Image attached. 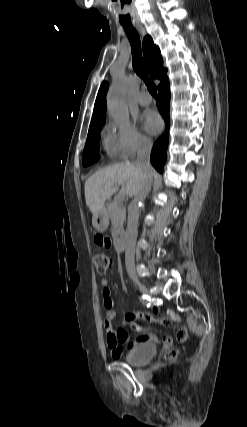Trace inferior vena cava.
<instances>
[{
	"label": "inferior vena cava",
	"instance_id": "1",
	"mask_svg": "<svg viewBox=\"0 0 247 427\" xmlns=\"http://www.w3.org/2000/svg\"><path fill=\"white\" fill-rule=\"evenodd\" d=\"M152 149V142L147 139L140 141L136 165L143 171L144 179L141 187L134 195V198L128 208V222L126 229L127 246L125 251V264L128 273L135 272V244L137 239V225L139 218V207L151 189L153 169L150 164V153Z\"/></svg>",
	"mask_w": 247,
	"mask_h": 427
}]
</instances>
